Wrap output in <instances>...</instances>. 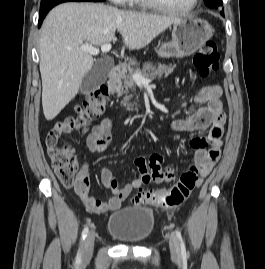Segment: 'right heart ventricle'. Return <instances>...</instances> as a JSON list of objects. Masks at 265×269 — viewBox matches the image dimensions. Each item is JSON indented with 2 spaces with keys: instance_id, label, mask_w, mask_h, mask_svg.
Segmentation results:
<instances>
[{
  "instance_id": "obj_1",
  "label": "right heart ventricle",
  "mask_w": 265,
  "mask_h": 269,
  "mask_svg": "<svg viewBox=\"0 0 265 269\" xmlns=\"http://www.w3.org/2000/svg\"><path fill=\"white\" fill-rule=\"evenodd\" d=\"M130 4L135 5V6H146L147 5L145 0H130Z\"/></svg>"
}]
</instances>
